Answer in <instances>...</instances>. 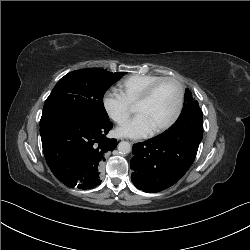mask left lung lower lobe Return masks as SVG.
Instances as JSON below:
<instances>
[{"instance_id": "0a47b994", "label": "left lung lower lobe", "mask_w": 250, "mask_h": 250, "mask_svg": "<svg viewBox=\"0 0 250 250\" xmlns=\"http://www.w3.org/2000/svg\"><path fill=\"white\" fill-rule=\"evenodd\" d=\"M203 137V118L185 114L166 132L133 145L131 180L140 190L155 193L181 179L197 154Z\"/></svg>"}]
</instances>
